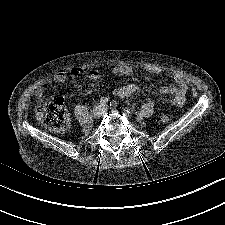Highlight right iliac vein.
I'll use <instances>...</instances> for the list:
<instances>
[{
	"label": "right iliac vein",
	"mask_w": 225,
	"mask_h": 225,
	"mask_svg": "<svg viewBox=\"0 0 225 225\" xmlns=\"http://www.w3.org/2000/svg\"><path fill=\"white\" fill-rule=\"evenodd\" d=\"M102 113H103V107L101 105H97L94 107L92 111V116L94 119H98L101 117Z\"/></svg>",
	"instance_id": "obj_1"
}]
</instances>
